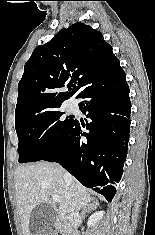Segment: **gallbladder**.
<instances>
[{"instance_id":"1","label":"gallbladder","mask_w":155,"mask_h":235,"mask_svg":"<svg viewBox=\"0 0 155 235\" xmlns=\"http://www.w3.org/2000/svg\"><path fill=\"white\" fill-rule=\"evenodd\" d=\"M56 216V208L53 205L49 203L38 204L31 213L30 235H51Z\"/></svg>"}]
</instances>
